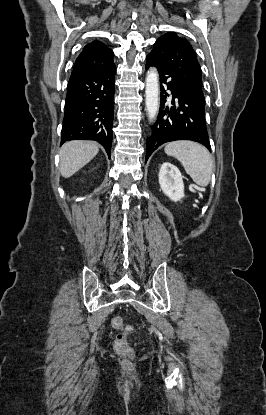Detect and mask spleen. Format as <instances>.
<instances>
[{
	"label": "spleen",
	"mask_w": 266,
	"mask_h": 415,
	"mask_svg": "<svg viewBox=\"0 0 266 415\" xmlns=\"http://www.w3.org/2000/svg\"><path fill=\"white\" fill-rule=\"evenodd\" d=\"M165 153L179 160L186 173L199 186L205 187L211 180L214 162L209 151L192 141H176L166 145Z\"/></svg>",
	"instance_id": "1"
}]
</instances>
